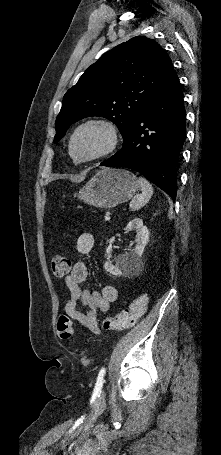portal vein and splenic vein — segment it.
I'll return each instance as SVG.
<instances>
[{"label":"portal vein and splenic vein","instance_id":"portal-vein-and-splenic-vein-1","mask_svg":"<svg viewBox=\"0 0 221 455\" xmlns=\"http://www.w3.org/2000/svg\"><path fill=\"white\" fill-rule=\"evenodd\" d=\"M110 220V214L107 213L106 216H105V221H109Z\"/></svg>","mask_w":221,"mask_h":455}]
</instances>
